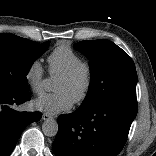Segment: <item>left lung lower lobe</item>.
Listing matches in <instances>:
<instances>
[{"label": "left lung lower lobe", "mask_w": 156, "mask_h": 156, "mask_svg": "<svg viewBox=\"0 0 156 156\" xmlns=\"http://www.w3.org/2000/svg\"><path fill=\"white\" fill-rule=\"evenodd\" d=\"M137 106L112 101L58 117L56 156H116L127 140Z\"/></svg>", "instance_id": "left-lung-lower-lobe-1"}]
</instances>
